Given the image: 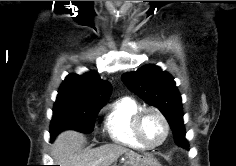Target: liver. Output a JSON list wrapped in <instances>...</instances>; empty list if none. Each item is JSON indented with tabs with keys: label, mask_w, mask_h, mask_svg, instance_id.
Masks as SVG:
<instances>
[{
	"label": "liver",
	"mask_w": 236,
	"mask_h": 166,
	"mask_svg": "<svg viewBox=\"0 0 236 166\" xmlns=\"http://www.w3.org/2000/svg\"><path fill=\"white\" fill-rule=\"evenodd\" d=\"M84 142L85 137L79 132L69 130L60 133L52 147V156L56 163L60 166H110L122 155L126 159L125 165L144 166L148 163L147 157L116 144L81 152Z\"/></svg>",
	"instance_id": "obj_1"
}]
</instances>
